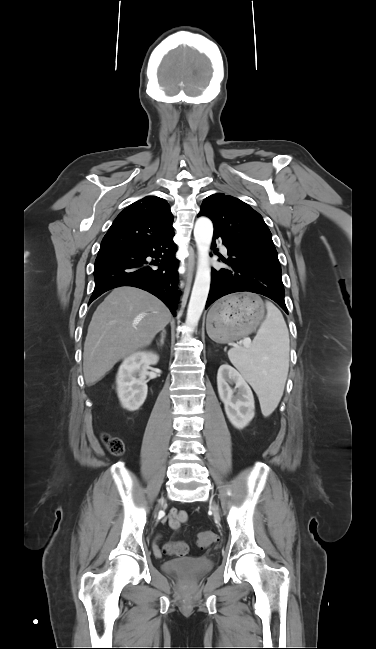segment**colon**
I'll return each instance as SVG.
<instances>
[{"mask_svg": "<svg viewBox=\"0 0 376 649\" xmlns=\"http://www.w3.org/2000/svg\"><path fill=\"white\" fill-rule=\"evenodd\" d=\"M102 440L107 447L108 451L114 456H120L125 451L124 442L122 439L110 434H104ZM214 541V534L209 531L199 532L197 535V545L200 549L208 548ZM166 550L169 553L182 555L186 552L187 546L181 542L168 544Z\"/></svg>", "mask_w": 376, "mask_h": 649, "instance_id": "obj_1", "label": "colon"}]
</instances>
